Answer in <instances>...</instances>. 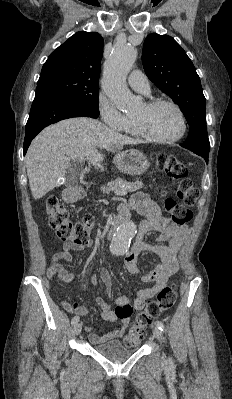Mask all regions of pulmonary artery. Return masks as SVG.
I'll return each mask as SVG.
<instances>
[{"label":"pulmonary artery","mask_w":232,"mask_h":399,"mask_svg":"<svg viewBox=\"0 0 232 399\" xmlns=\"http://www.w3.org/2000/svg\"><path fill=\"white\" fill-rule=\"evenodd\" d=\"M130 85L136 88L137 96H150L151 90L146 87V73H141L140 69H131Z\"/></svg>","instance_id":"pulmonary-artery-1"}]
</instances>
